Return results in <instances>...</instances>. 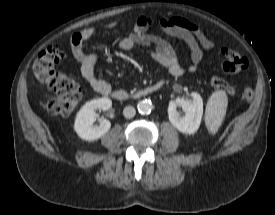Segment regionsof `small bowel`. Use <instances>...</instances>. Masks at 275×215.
Instances as JSON below:
<instances>
[{
	"instance_id": "obj_1",
	"label": "small bowel",
	"mask_w": 275,
	"mask_h": 215,
	"mask_svg": "<svg viewBox=\"0 0 275 215\" xmlns=\"http://www.w3.org/2000/svg\"><path fill=\"white\" fill-rule=\"evenodd\" d=\"M154 26H158L165 33L186 43L191 52V63L187 68L189 72L198 69L203 57L202 48L208 51L214 49L213 42L196 23L178 16H165L156 19L149 15H140L135 20L131 33L118 42V48L129 51L137 45L152 47L151 57L166 67L171 76L183 75L186 69L178 61L172 46L165 40L149 33ZM116 27L117 25L112 23L102 26L101 29L112 30ZM96 32V27H87L74 33L70 40L71 52L85 82L96 92L107 95L111 91L110 85L99 79L95 73L99 53H85L83 50V43L92 38Z\"/></svg>"
}]
</instances>
